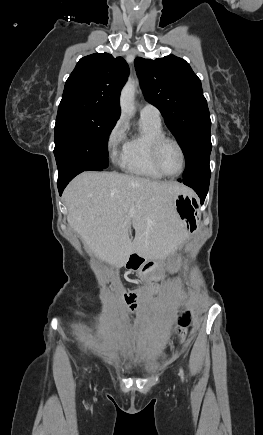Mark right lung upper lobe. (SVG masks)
<instances>
[{
    "instance_id": "1",
    "label": "right lung upper lobe",
    "mask_w": 263,
    "mask_h": 435,
    "mask_svg": "<svg viewBox=\"0 0 263 435\" xmlns=\"http://www.w3.org/2000/svg\"><path fill=\"white\" fill-rule=\"evenodd\" d=\"M128 75L129 67L122 57L108 53L83 57L65 83L58 108L89 107L118 119L120 91Z\"/></svg>"
}]
</instances>
